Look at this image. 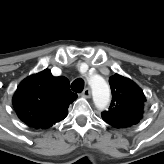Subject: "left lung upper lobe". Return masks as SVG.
<instances>
[{
  "instance_id": "1",
  "label": "left lung upper lobe",
  "mask_w": 164,
  "mask_h": 164,
  "mask_svg": "<svg viewBox=\"0 0 164 164\" xmlns=\"http://www.w3.org/2000/svg\"><path fill=\"white\" fill-rule=\"evenodd\" d=\"M112 103L108 111L101 113L105 122L117 127L137 124L143 113L144 93L133 81L115 74L109 80Z\"/></svg>"
}]
</instances>
